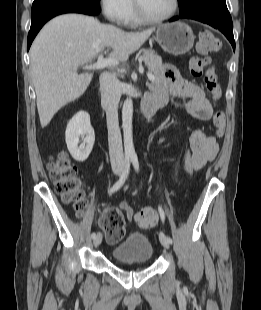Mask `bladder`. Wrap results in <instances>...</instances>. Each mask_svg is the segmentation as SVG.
Wrapping results in <instances>:
<instances>
[{
    "label": "bladder",
    "instance_id": "31cf9c89",
    "mask_svg": "<svg viewBox=\"0 0 261 310\" xmlns=\"http://www.w3.org/2000/svg\"><path fill=\"white\" fill-rule=\"evenodd\" d=\"M111 256L119 262L146 263L153 256V246L147 235L132 232L112 248Z\"/></svg>",
    "mask_w": 261,
    "mask_h": 310
}]
</instances>
